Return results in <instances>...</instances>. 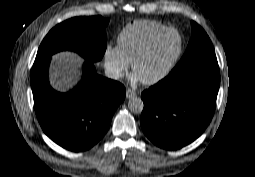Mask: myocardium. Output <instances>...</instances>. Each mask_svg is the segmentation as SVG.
<instances>
[{
  "mask_svg": "<svg viewBox=\"0 0 255 177\" xmlns=\"http://www.w3.org/2000/svg\"><path fill=\"white\" fill-rule=\"evenodd\" d=\"M175 31L178 34L179 37V47L177 52L172 56V58L168 61V63L165 65V67L153 78L150 79H141V81L148 85L156 84L160 81H162L171 71L179 57L181 56L184 48V40L181 32L176 29L175 27H166L157 33L153 34L149 40L146 42V44L142 47V49L137 53L134 60L131 63V69L135 73L136 65L148 54L154 43L163 35H165L168 32Z\"/></svg>",
  "mask_w": 255,
  "mask_h": 177,
  "instance_id": "f54148a6",
  "label": "myocardium"
}]
</instances>
